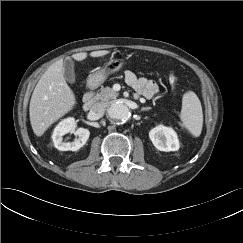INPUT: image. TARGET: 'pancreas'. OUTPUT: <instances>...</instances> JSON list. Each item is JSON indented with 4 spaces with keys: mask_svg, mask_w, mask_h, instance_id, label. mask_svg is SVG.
I'll use <instances>...</instances> for the list:
<instances>
[{
    "mask_svg": "<svg viewBox=\"0 0 243 243\" xmlns=\"http://www.w3.org/2000/svg\"><path fill=\"white\" fill-rule=\"evenodd\" d=\"M118 95L119 94L117 92H115L112 88L105 87L99 93L96 94L95 100L107 102L109 100L116 99L118 97Z\"/></svg>",
    "mask_w": 243,
    "mask_h": 243,
    "instance_id": "obj_1",
    "label": "pancreas"
}]
</instances>
